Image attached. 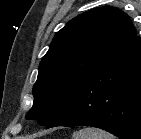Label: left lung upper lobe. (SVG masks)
<instances>
[{"label": "left lung upper lobe", "mask_w": 141, "mask_h": 139, "mask_svg": "<svg viewBox=\"0 0 141 139\" xmlns=\"http://www.w3.org/2000/svg\"><path fill=\"white\" fill-rule=\"evenodd\" d=\"M135 37L130 18L115 7L95 8L73 18L55 35L40 62L27 118L47 125L83 81Z\"/></svg>", "instance_id": "obj_1"}]
</instances>
